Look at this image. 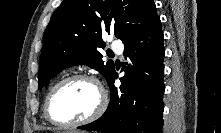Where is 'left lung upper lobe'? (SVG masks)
<instances>
[{
    "instance_id": "left-lung-upper-lobe-1",
    "label": "left lung upper lobe",
    "mask_w": 221,
    "mask_h": 133,
    "mask_svg": "<svg viewBox=\"0 0 221 133\" xmlns=\"http://www.w3.org/2000/svg\"><path fill=\"white\" fill-rule=\"evenodd\" d=\"M158 18L153 0H63L44 33L38 88L79 64L98 70L108 82L115 69L98 51L104 47L102 33L113 32L125 43Z\"/></svg>"
}]
</instances>
